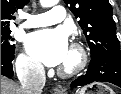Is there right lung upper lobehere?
<instances>
[{
  "label": "right lung upper lobe",
  "instance_id": "cb5924a9",
  "mask_svg": "<svg viewBox=\"0 0 121 94\" xmlns=\"http://www.w3.org/2000/svg\"><path fill=\"white\" fill-rule=\"evenodd\" d=\"M29 0H1V30L10 29L9 23L17 9L23 8Z\"/></svg>",
  "mask_w": 121,
  "mask_h": 94
}]
</instances>
